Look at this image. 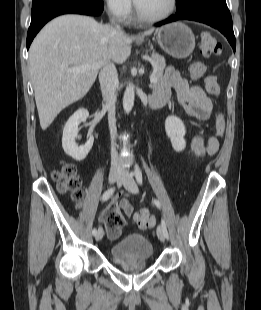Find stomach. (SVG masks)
<instances>
[{"label": "stomach", "mask_w": 261, "mask_h": 310, "mask_svg": "<svg viewBox=\"0 0 261 310\" xmlns=\"http://www.w3.org/2000/svg\"><path fill=\"white\" fill-rule=\"evenodd\" d=\"M160 47L172 57L183 59L195 48V37L191 29L181 22H174L158 30Z\"/></svg>", "instance_id": "1"}]
</instances>
